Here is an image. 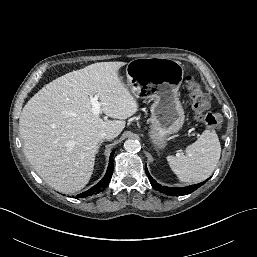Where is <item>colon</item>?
<instances>
[{"label": "colon", "mask_w": 257, "mask_h": 257, "mask_svg": "<svg viewBox=\"0 0 257 257\" xmlns=\"http://www.w3.org/2000/svg\"><path fill=\"white\" fill-rule=\"evenodd\" d=\"M187 83L192 106L195 112L202 117L204 124L208 128H220L222 123L221 115L214 112H206L209 107V97L203 91L201 84L193 77H188Z\"/></svg>", "instance_id": "obj_1"}]
</instances>
